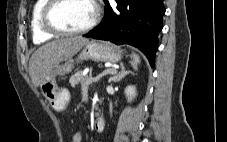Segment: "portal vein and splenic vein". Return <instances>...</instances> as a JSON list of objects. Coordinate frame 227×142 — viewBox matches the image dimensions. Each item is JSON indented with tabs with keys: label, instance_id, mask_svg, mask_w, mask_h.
Returning a JSON list of instances; mask_svg holds the SVG:
<instances>
[{
	"label": "portal vein and splenic vein",
	"instance_id": "1",
	"mask_svg": "<svg viewBox=\"0 0 227 142\" xmlns=\"http://www.w3.org/2000/svg\"><path fill=\"white\" fill-rule=\"evenodd\" d=\"M114 72H115L114 69H108L96 77H88L86 84L82 85V87H87L88 85H90L94 82H98L103 76H105L107 74H113Z\"/></svg>",
	"mask_w": 227,
	"mask_h": 142
}]
</instances>
